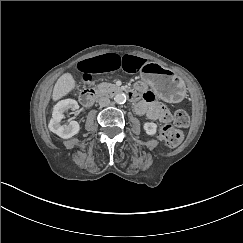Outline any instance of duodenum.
Returning <instances> with one entry per match:
<instances>
[{"mask_svg": "<svg viewBox=\"0 0 243 243\" xmlns=\"http://www.w3.org/2000/svg\"><path fill=\"white\" fill-rule=\"evenodd\" d=\"M112 93H124L128 99L132 102L139 100V93L133 89L128 88H117ZM97 98V94L93 89H86L80 95V102L83 106H91Z\"/></svg>", "mask_w": 243, "mask_h": 243, "instance_id": "duodenum-1", "label": "duodenum"}]
</instances>
